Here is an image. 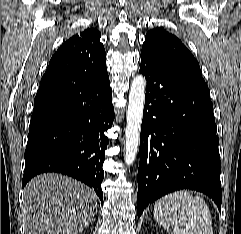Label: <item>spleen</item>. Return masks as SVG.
Here are the masks:
<instances>
[{
	"instance_id": "1",
	"label": "spleen",
	"mask_w": 241,
	"mask_h": 234,
	"mask_svg": "<svg viewBox=\"0 0 241 234\" xmlns=\"http://www.w3.org/2000/svg\"><path fill=\"white\" fill-rule=\"evenodd\" d=\"M154 218L171 234H213L211 212L187 190L167 194L154 205Z\"/></svg>"
}]
</instances>
